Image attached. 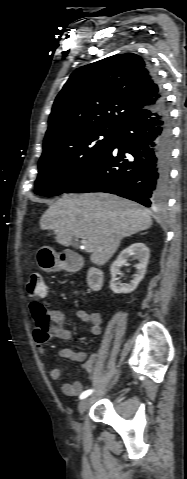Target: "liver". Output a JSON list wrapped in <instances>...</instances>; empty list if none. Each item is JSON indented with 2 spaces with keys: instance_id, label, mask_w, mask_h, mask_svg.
Here are the masks:
<instances>
[{
  "instance_id": "liver-1",
  "label": "liver",
  "mask_w": 187,
  "mask_h": 479,
  "mask_svg": "<svg viewBox=\"0 0 187 479\" xmlns=\"http://www.w3.org/2000/svg\"><path fill=\"white\" fill-rule=\"evenodd\" d=\"M152 219L138 204L106 193L65 196L53 203L40 220L43 230H53L57 243L69 247L75 238L90 242L93 264L104 265L121 240L147 230Z\"/></svg>"
}]
</instances>
